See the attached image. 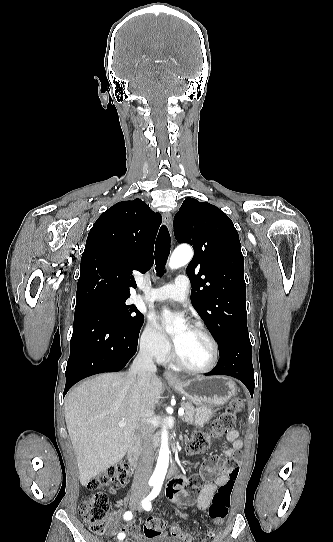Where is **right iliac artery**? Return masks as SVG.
<instances>
[{"instance_id":"right-iliac-artery-1","label":"right iliac artery","mask_w":333,"mask_h":542,"mask_svg":"<svg viewBox=\"0 0 333 542\" xmlns=\"http://www.w3.org/2000/svg\"><path fill=\"white\" fill-rule=\"evenodd\" d=\"M153 484H154V483H149L150 486H152ZM146 499H147V498H145L144 500H146ZM144 500H143V501H144ZM143 501H142V502H143ZM124 519H125V520H130V519H132V512H130V511L125 512V514H124ZM118 538H119V539H124V538H125V534H124V533H119V534H118Z\"/></svg>"}]
</instances>
